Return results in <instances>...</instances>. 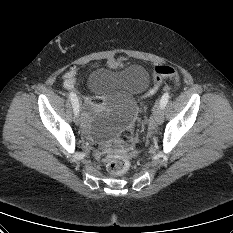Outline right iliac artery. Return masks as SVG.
Wrapping results in <instances>:
<instances>
[{"mask_svg": "<svg viewBox=\"0 0 233 233\" xmlns=\"http://www.w3.org/2000/svg\"><path fill=\"white\" fill-rule=\"evenodd\" d=\"M69 98H70L72 106L74 108V113L78 114L79 113V102H78V98H77L76 94L73 92H70Z\"/></svg>", "mask_w": 233, "mask_h": 233, "instance_id": "obj_1", "label": "right iliac artery"}]
</instances>
